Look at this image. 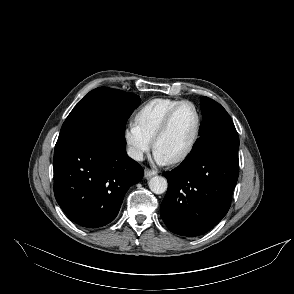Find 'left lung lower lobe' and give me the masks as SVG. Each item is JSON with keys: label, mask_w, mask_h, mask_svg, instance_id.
<instances>
[{"label": "left lung lower lobe", "mask_w": 294, "mask_h": 294, "mask_svg": "<svg viewBox=\"0 0 294 294\" xmlns=\"http://www.w3.org/2000/svg\"><path fill=\"white\" fill-rule=\"evenodd\" d=\"M238 148L236 129L200 136L181 165L164 173L168 190L161 218L170 231L194 237L222 220L239 175Z\"/></svg>", "instance_id": "left-lung-lower-lobe-1"}]
</instances>
